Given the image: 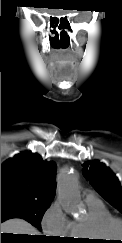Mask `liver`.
I'll return each mask as SVG.
<instances>
[{
    "mask_svg": "<svg viewBox=\"0 0 122 243\" xmlns=\"http://www.w3.org/2000/svg\"><path fill=\"white\" fill-rule=\"evenodd\" d=\"M1 233L40 235L39 231L23 219L14 218L1 224Z\"/></svg>",
    "mask_w": 122,
    "mask_h": 243,
    "instance_id": "obj_1",
    "label": "liver"
}]
</instances>
